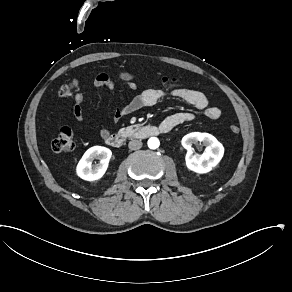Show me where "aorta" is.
Returning a JSON list of instances; mask_svg holds the SVG:
<instances>
[{"mask_svg": "<svg viewBox=\"0 0 292 292\" xmlns=\"http://www.w3.org/2000/svg\"><path fill=\"white\" fill-rule=\"evenodd\" d=\"M159 139L156 138V137H151L149 140H148V147L150 149H156L159 147Z\"/></svg>", "mask_w": 292, "mask_h": 292, "instance_id": "aorta-1", "label": "aorta"}]
</instances>
